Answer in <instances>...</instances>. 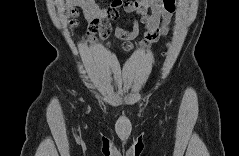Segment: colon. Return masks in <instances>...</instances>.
Wrapping results in <instances>:
<instances>
[{
    "instance_id": "1",
    "label": "colon",
    "mask_w": 239,
    "mask_h": 156,
    "mask_svg": "<svg viewBox=\"0 0 239 156\" xmlns=\"http://www.w3.org/2000/svg\"><path fill=\"white\" fill-rule=\"evenodd\" d=\"M69 15H70V17H71V23L72 24H76L77 23V17H78V12H77V10L75 9V8H70L69 9ZM107 16H112V14H108ZM96 27H95V25L94 24H91L90 26H89V30H88V33H90V34H93L95 31H96ZM163 55H165V53H163Z\"/></svg>"
}]
</instances>
